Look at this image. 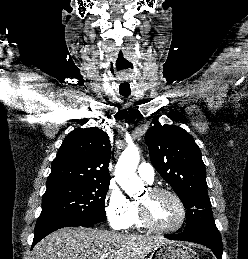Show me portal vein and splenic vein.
I'll return each mask as SVG.
<instances>
[{"label": "portal vein and splenic vein", "instance_id": "1", "mask_svg": "<svg viewBox=\"0 0 248 259\" xmlns=\"http://www.w3.org/2000/svg\"><path fill=\"white\" fill-rule=\"evenodd\" d=\"M107 258V254L106 255H102L101 257H100V259H106Z\"/></svg>", "mask_w": 248, "mask_h": 259}]
</instances>
